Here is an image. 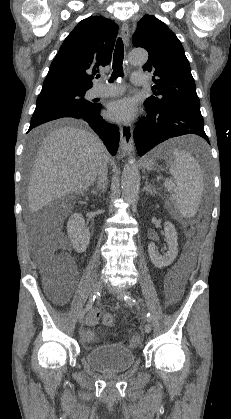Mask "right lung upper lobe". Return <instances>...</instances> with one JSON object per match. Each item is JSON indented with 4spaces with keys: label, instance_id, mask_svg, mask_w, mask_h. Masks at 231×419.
I'll return each mask as SVG.
<instances>
[{
    "label": "right lung upper lobe",
    "instance_id": "obj_1",
    "mask_svg": "<svg viewBox=\"0 0 231 419\" xmlns=\"http://www.w3.org/2000/svg\"><path fill=\"white\" fill-rule=\"evenodd\" d=\"M118 26L91 16L77 24L50 65L43 87L65 85L88 90L93 75L111 62Z\"/></svg>",
    "mask_w": 231,
    "mask_h": 419
}]
</instances>
